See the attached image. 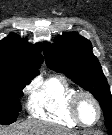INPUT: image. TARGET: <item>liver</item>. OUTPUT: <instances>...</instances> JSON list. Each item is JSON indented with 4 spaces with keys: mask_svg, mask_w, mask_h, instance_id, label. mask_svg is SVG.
Here are the masks:
<instances>
[{
    "mask_svg": "<svg viewBox=\"0 0 112 135\" xmlns=\"http://www.w3.org/2000/svg\"><path fill=\"white\" fill-rule=\"evenodd\" d=\"M66 129L36 120L17 124L9 130H1L0 135H75Z\"/></svg>",
    "mask_w": 112,
    "mask_h": 135,
    "instance_id": "1",
    "label": "liver"
}]
</instances>
